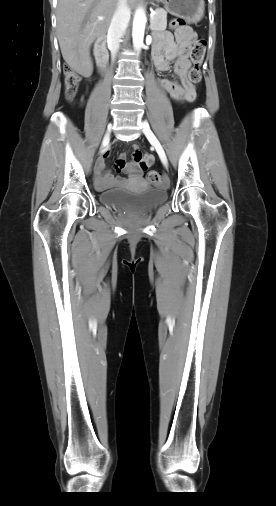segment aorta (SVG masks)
Listing matches in <instances>:
<instances>
[{
	"label": "aorta",
	"mask_w": 276,
	"mask_h": 506,
	"mask_svg": "<svg viewBox=\"0 0 276 506\" xmlns=\"http://www.w3.org/2000/svg\"><path fill=\"white\" fill-rule=\"evenodd\" d=\"M146 26V14L142 8L135 12L132 27L133 46L136 51H140L144 43V32Z\"/></svg>",
	"instance_id": "1"
}]
</instances>
